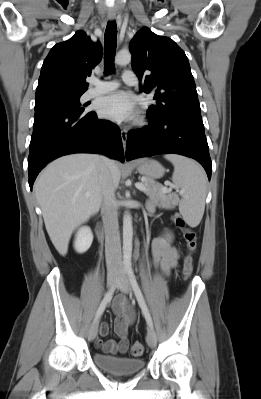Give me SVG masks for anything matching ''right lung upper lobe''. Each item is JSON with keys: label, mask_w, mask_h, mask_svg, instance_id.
I'll return each instance as SVG.
<instances>
[{"label": "right lung upper lobe", "mask_w": 261, "mask_h": 399, "mask_svg": "<svg viewBox=\"0 0 261 399\" xmlns=\"http://www.w3.org/2000/svg\"><path fill=\"white\" fill-rule=\"evenodd\" d=\"M101 57L100 43H93L83 31L56 44L43 62L35 101L83 94L88 89L85 78Z\"/></svg>", "instance_id": "obj_1"}]
</instances>
